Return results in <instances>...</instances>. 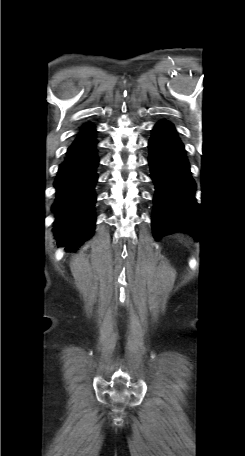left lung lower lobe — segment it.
<instances>
[{
    "label": "left lung lower lobe",
    "mask_w": 245,
    "mask_h": 456,
    "mask_svg": "<svg viewBox=\"0 0 245 456\" xmlns=\"http://www.w3.org/2000/svg\"><path fill=\"white\" fill-rule=\"evenodd\" d=\"M148 147L151 178L156 187L152 216L154 237L157 240L175 231L195 236L196 185L174 126L167 121L157 123Z\"/></svg>",
    "instance_id": "obj_1"
}]
</instances>
